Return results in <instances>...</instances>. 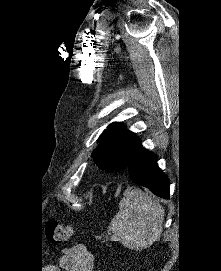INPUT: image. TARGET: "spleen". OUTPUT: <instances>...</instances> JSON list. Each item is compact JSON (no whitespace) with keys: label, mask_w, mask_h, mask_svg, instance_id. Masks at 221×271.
<instances>
[{"label":"spleen","mask_w":221,"mask_h":271,"mask_svg":"<svg viewBox=\"0 0 221 271\" xmlns=\"http://www.w3.org/2000/svg\"><path fill=\"white\" fill-rule=\"evenodd\" d=\"M164 207L145 195L141 189H133L121 199L119 211L111 219L108 229L112 241H121L129 249H147L159 241L164 221Z\"/></svg>","instance_id":"spleen-1"}]
</instances>
